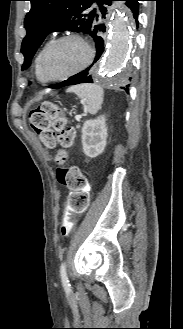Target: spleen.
Returning a JSON list of instances; mask_svg holds the SVG:
<instances>
[{"label": "spleen", "mask_w": 183, "mask_h": 329, "mask_svg": "<svg viewBox=\"0 0 183 329\" xmlns=\"http://www.w3.org/2000/svg\"><path fill=\"white\" fill-rule=\"evenodd\" d=\"M67 92L75 93L85 104V109L92 115H95L103 103L104 90L102 87L94 84H81L70 87Z\"/></svg>", "instance_id": "3e777b00"}]
</instances>
